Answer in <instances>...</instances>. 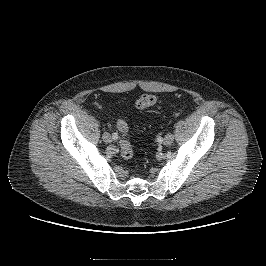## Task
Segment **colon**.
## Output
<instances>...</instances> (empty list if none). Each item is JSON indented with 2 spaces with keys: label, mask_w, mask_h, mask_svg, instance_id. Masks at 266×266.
Returning <instances> with one entry per match:
<instances>
[{
  "label": "colon",
  "mask_w": 266,
  "mask_h": 266,
  "mask_svg": "<svg viewBox=\"0 0 266 266\" xmlns=\"http://www.w3.org/2000/svg\"><path fill=\"white\" fill-rule=\"evenodd\" d=\"M156 103H157L156 96L152 94H143L136 101V107L138 109L144 110L153 107ZM117 128L122 135L120 140L121 155L124 159L129 160L134 155L132 145L128 137L129 126L126 121L119 120L117 122Z\"/></svg>",
  "instance_id": "obj_1"
}]
</instances>
